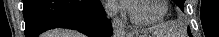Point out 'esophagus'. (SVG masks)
<instances>
[{
    "instance_id": "1",
    "label": "esophagus",
    "mask_w": 219,
    "mask_h": 37,
    "mask_svg": "<svg viewBox=\"0 0 219 37\" xmlns=\"http://www.w3.org/2000/svg\"><path fill=\"white\" fill-rule=\"evenodd\" d=\"M113 29L117 36L122 35L124 37L126 35L125 25L122 20L117 17L113 19Z\"/></svg>"
}]
</instances>
